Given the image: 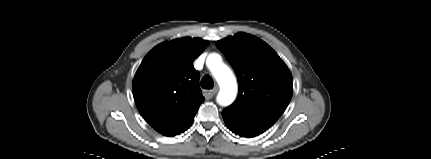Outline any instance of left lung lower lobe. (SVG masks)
I'll return each instance as SVG.
<instances>
[{"mask_svg":"<svg viewBox=\"0 0 431 159\" xmlns=\"http://www.w3.org/2000/svg\"><path fill=\"white\" fill-rule=\"evenodd\" d=\"M227 127L236 135H239L241 137H254L261 133H263L265 130L263 129H257V128H248V127H242L236 124L235 122L228 121L224 119Z\"/></svg>","mask_w":431,"mask_h":159,"instance_id":"1","label":"left lung lower lobe"}]
</instances>
